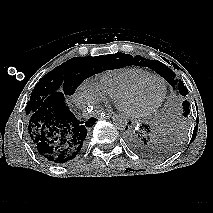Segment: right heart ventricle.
Masks as SVG:
<instances>
[{"label": "right heart ventricle", "instance_id": "obj_1", "mask_svg": "<svg viewBox=\"0 0 213 213\" xmlns=\"http://www.w3.org/2000/svg\"><path fill=\"white\" fill-rule=\"evenodd\" d=\"M149 74L150 71L135 66L111 69L97 76L95 85L107 99H116L130 84Z\"/></svg>", "mask_w": 213, "mask_h": 213}]
</instances>
